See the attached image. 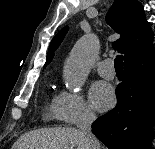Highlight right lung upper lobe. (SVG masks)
<instances>
[{
  "label": "right lung upper lobe",
  "mask_w": 155,
  "mask_h": 149,
  "mask_svg": "<svg viewBox=\"0 0 155 149\" xmlns=\"http://www.w3.org/2000/svg\"><path fill=\"white\" fill-rule=\"evenodd\" d=\"M106 21L117 33L121 34V38L113 43V48L125 54L124 66L155 56V48L152 43L154 33L145 18L140 2L115 0L107 13ZM67 30L68 27H64L52 39L44 68L53 58L54 51L60 45Z\"/></svg>",
  "instance_id": "1"
}]
</instances>
